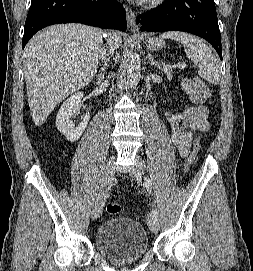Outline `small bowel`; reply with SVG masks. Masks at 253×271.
<instances>
[{
	"instance_id": "c3829d8e",
	"label": "small bowel",
	"mask_w": 253,
	"mask_h": 271,
	"mask_svg": "<svg viewBox=\"0 0 253 271\" xmlns=\"http://www.w3.org/2000/svg\"><path fill=\"white\" fill-rule=\"evenodd\" d=\"M182 88L187 99L194 104L177 115H166V121L171 130V141L177 147L182 157L188 156L193 133L196 131L208 132V109L204 106L205 97L199 91L195 81L186 79Z\"/></svg>"
}]
</instances>
